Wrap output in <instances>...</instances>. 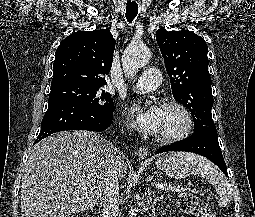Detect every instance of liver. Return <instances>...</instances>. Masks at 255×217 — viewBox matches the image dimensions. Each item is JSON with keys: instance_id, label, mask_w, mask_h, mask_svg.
Instances as JSON below:
<instances>
[{"instance_id": "6515ba94", "label": "liver", "mask_w": 255, "mask_h": 217, "mask_svg": "<svg viewBox=\"0 0 255 217\" xmlns=\"http://www.w3.org/2000/svg\"><path fill=\"white\" fill-rule=\"evenodd\" d=\"M111 147L100 134L87 130L59 132L37 143L22 177V217H68L93 208L104 190ZM115 162L122 178L125 161L117 156Z\"/></svg>"}]
</instances>
